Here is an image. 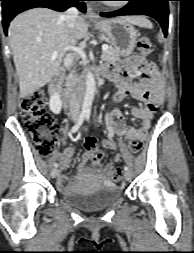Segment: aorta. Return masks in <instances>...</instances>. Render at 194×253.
Instances as JSON below:
<instances>
[{"mask_svg":"<svg viewBox=\"0 0 194 253\" xmlns=\"http://www.w3.org/2000/svg\"><path fill=\"white\" fill-rule=\"evenodd\" d=\"M96 89L95 79L93 74L88 71L86 75V90L84 95V101L82 106L83 113H89L94 98Z\"/></svg>","mask_w":194,"mask_h":253,"instance_id":"1","label":"aorta"}]
</instances>
